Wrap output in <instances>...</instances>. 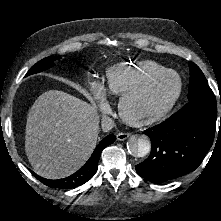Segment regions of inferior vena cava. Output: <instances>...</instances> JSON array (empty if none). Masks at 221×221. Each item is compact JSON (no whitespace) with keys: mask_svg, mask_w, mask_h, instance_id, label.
<instances>
[{"mask_svg":"<svg viewBox=\"0 0 221 221\" xmlns=\"http://www.w3.org/2000/svg\"><path fill=\"white\" fill-rule=\"evenodd\" d=\"M101 126L104 132H108L114 127V121L110 117H104Z\"/></svg>","mask_w":221,"mask_h":221,"instance_id":"602c4592","label":"inferior vena cava"}]
</instances>
